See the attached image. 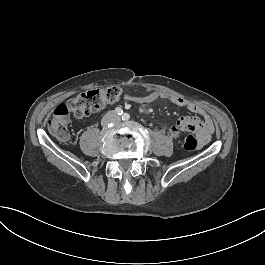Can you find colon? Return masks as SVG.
Listing matches in <instances>:
<instances>
[{
	"label": "colon",
	"mask_w": 265,
	"mask_h": 265,
	"mask_svg": "<svg viewBox=\"0 0 265 265\" xmlns=\"http://www.w3.org/2000/svg\"><path fill=\"white\" fill-rule=\"evenodd\" d=\"M120 95L121 89L115 86L85 90L54 110L47 121L48 129L57 139L67 142L70 138L67 128L70 115L83 118L99 112L107 105L116 102ZM195 143L193 135H188L185 138L184 149L193 152Z\"/></svg>",
	"instance_id": "5ec220e1"
}]
</instances>
